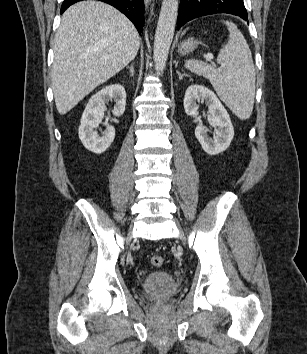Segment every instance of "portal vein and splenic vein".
<instances>
[{
  "label": "portal vein and splenic vein",
  "mask_w": 307,
  "mask_h": 354,
  "mask_svg": "<svg viewBox=\"0 0 307 354\" xmlns=\"http://www.w3.org/2000/svg\"><path fill=\"white\" fill-rule=\"evenodd\" d=\"M212 59H213V56H212V55H208V56H207V60H208V61H211Z\"/></svg>",
  "instance_id": "obj_1"
}]
</instances>
